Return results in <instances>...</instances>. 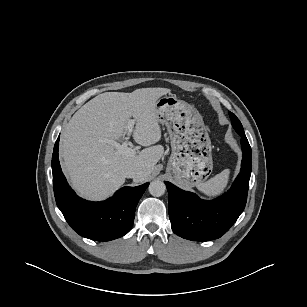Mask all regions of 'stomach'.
<instances>
[{
    "label": "stomach",
    "mask_w": 307,
    "mask_h": 307,
    "mask_svg": "<svg viewBox=\"0 0 307 307\" xmlns=\"http://www.w3.org/2000/svg\"><path fill=\"white\" fill-rule=\"evenodd\" d=\"M156 115L171 139L167 172L183 187L205 182L212 172L213 160L211 140L201 114L170 94L158 99Z\"/></svg>",
    "instance_id": "stomach-1"
}]
</instances>
